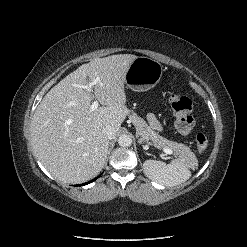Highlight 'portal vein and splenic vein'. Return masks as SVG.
Returning a JSON list of instances; mask_svg holds the SVG:
<instances>
[{
  "label": "portal vein and splenic vein",
  "instance_id": "18ae733b",
  "mask_svg": "<svg viewBox=\"0 0 247 247\" xmlns=\"http://www.w3.org/2000/svg\"><path fill=\"white\" fill-rule=\"evenodd\" d=\"M98 82H99V78H96L94 81L88 83V84L85 86V88L91 91V90H92V87H93L95 84H97ZM98 106H99V103H98L97 100H95V101L91 104V107H90V108H91V110L93 111V110H96V109L98 108ZM162 150H163V152H165L166 154H169V155L173 154V151H172L171 149H169V148H162Z\"/></svg>",
  "mask_w": 247,
  "mask_h": 247
}]
</instances>
